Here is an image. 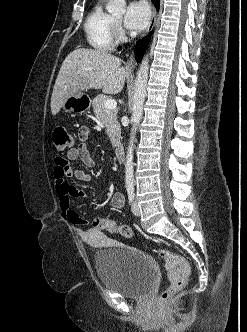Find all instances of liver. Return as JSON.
Listing matches in <instances>:
<instances>
[{
  "label": "liver",
  "instance_id": "1",
  "mask_svg": "<svg viewBox=\"0 0 247 332\" xmlns=\"http://www.w3.org/2000/svg\"><path fill=\"white\" fill-rule=\"evenodd\" d=\"M130 75L121 67V59L105 51L78 48L63 61L51 97V111L56 115L66 99L80 91L102 89L119 93Z\"/></svg>",
  "mask_w": 247,
  "mask_h": 332
}]
</instances>
